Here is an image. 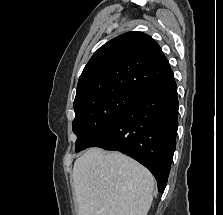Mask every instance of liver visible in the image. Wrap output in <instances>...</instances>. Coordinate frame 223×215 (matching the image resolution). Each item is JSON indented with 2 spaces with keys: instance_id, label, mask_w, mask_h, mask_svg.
<instances>
[{
  "instance_id": "6515ba94",
  "label": "liver",
  "mask_w": 223,
  "mask_h": 215,
  "mask_svg": "<svg viewBox=\"0 0 223 215\" xmlns=\"http://www.w3.org/2000/svg\"><path fill=\"white\" fill-rule=\"evenodd\" d=\"M78 215H146L155 179L120 151L90 147L73 167Z\"/></svg>"
}]
</instances>
